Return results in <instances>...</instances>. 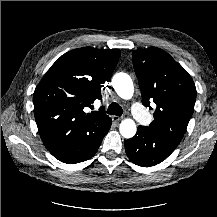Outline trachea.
Returning a JSON list of instances; mask_svg holds the SVG:
<instances>
[{
    "label": "trachea",
    "instance_id": "1",
    "mask_svg": "<svg viewBox=\"0 0 217 217\" xmlns=\"http://www.w3.org/2000/svg\"><path fill=\"white\" fill-rule=\"evenodd\" d=\"M107 114L121 116L123 109L118 103L112 102L107 109Z\"/></svg>",
    "mask_w": 217,
    "mask_h": 217
}]
</instances>
